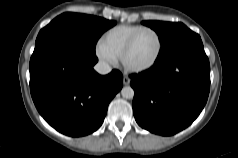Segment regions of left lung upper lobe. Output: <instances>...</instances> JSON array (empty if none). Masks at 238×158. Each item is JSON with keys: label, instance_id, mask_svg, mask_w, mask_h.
<instances>
[{"label": "left lung upper lobe", "instance_id": "left-lung-upper-lobe-1", "mask_svg": "<svg viewBox=\"0 0 238 158\" xmlns=\"http://www.w3.org/2000/svg\"><path fill=\"white\" fill-rule=\"evenodd\" d=\"M142 24L155 30L159 36L162 47L157 58L168 54L182 45L201 39L198 34L188 29L182 23L143 21Z\"/></svg>", "mask_w": 238, "mask_h": 158}]
</instances>
